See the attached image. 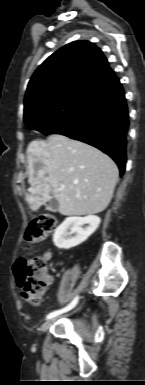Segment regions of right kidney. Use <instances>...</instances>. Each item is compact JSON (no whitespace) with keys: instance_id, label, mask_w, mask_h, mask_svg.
I'll list each match as a JSON object with an SVG mask.
<instances>
[{"instance_id":"ca27d5eb","label":"right kidney","mask_w":145,"mask_h":385,"mask_svg":"<svg viewBox=\"0 0 145 385\" xmlns=\"http://www.w3.org/2000/svg\"><path fill=\"white\" fill-rule=\"evenodd\" d=\"M101 219L95 215L86 217H68L56 229L53 235L54 245L59 249L69 250L83 243L99 227ZM85 224L88 226L83 227ZM70 230V232H68ZM75 233L74 237H68Z\"/></svg>"}]
</instances>
